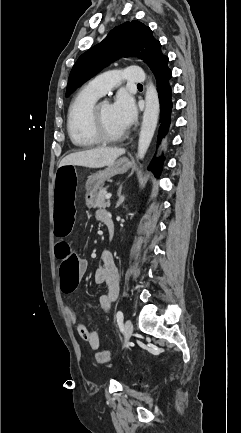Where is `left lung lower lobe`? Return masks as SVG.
Listing matches in <instances>:
<instances>
[{"label":"left lung lower lobe","mask_w":241,"mask_h":433,"mask_svg":"<svg viewBox=\"0 0 241 433\" xmlns=\"http://www.w3.org/2000/svg\"><path fill=\"white\" fill-rule=\"evenodd\" d=\"M172 73L170 69L165 70L163 73L155 75L157 82V91L160 101V126L158 130V141L159 145L163 139H165L166 134L169 131L171 124V112H172V88L170 86V79ZM163 156L159 159L155 157L148 166L156 176H159L162 170Z\"/></svg>","instance_id":"1"}]
</instances>
